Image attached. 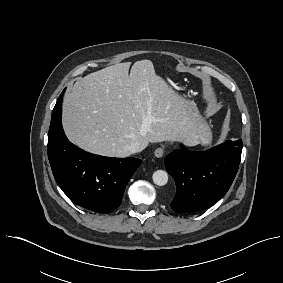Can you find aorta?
<instances>
[{
    "label": "aorta",
    "mask_w": 283,
    "mask_h": 283,
    "mask_svg": "<svg viewBox=\"0 0 283 283\" xmlns=\"http://www.w3.org/2000/svg\"><path fill=\"white\" fill-rule=\"evenodd\" d=\"M153 182L158 186H164L168 182V174L164 170H157L152 176Z\"/></svg>",
    "instance_id": "aorta-1"
}]
</instances>
